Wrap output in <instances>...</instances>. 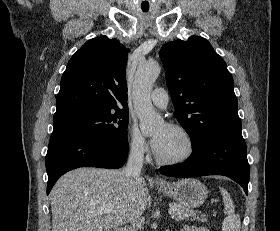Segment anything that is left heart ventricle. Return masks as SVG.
Instances as JSON below:
<instances>
[{
  "label": "left heart ventricle",
  "instance_id": "obj_1",
  "mask_svg": "<svg viewBox=\"0 0 280 231\" xmlns=\"http://www.w3.org/2000/svg\"><path fill=\"white\" fill-rule=\"evenodd\" d=\"M164 127L158 128L154 135L159 133ZM187 150V142L183 136L178 134L176 131H174L172 128H169V135L167 142L162 149L160 153H158L160 156L164 158H172L179 155H182Z\"/></svg>",
  "mask_w": 280,
  "mask_h": 231
}]
</instances>
